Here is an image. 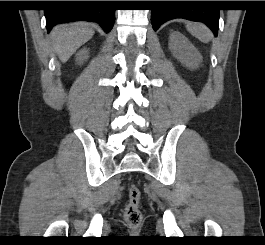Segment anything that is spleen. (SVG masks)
Here are the masks:
<instances>
[{
  "mask_svg": "<svg viewBox=\"0 0 265 245\" xmlns=\"http://www.w3.org/2000/svg\"><path fill=\"white\" fill-rule=\"evenodd\" d=\"M187 30L201 42L208 43L211 40V33L203 24H187Z\"/></svg>",
  "mask_w": 265,
  "mask_h": 245,
  "instance_id": "1",
  "label": "spleen"
}]
</instances>
